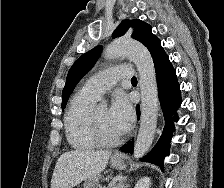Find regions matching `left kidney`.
<instances>
[{
    "instance_id": "obj_1",
    "label": "left kidney",
    "mask_w": 224,
    "mask_h": 188,
    "mask_svg": "<svg viewBox=\"0 0 224 188\" xmlns=\"http://www.w3.org/2000/svg\"><path fill=\"white\" fill-rule=\"evenodd\" d=\"M151 181L149 177L139 179L134 188H150Z\"/></svg>"
}]
</instances>
